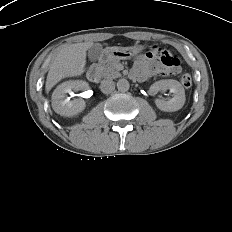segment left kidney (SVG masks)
Masks as SVG:
<instances>
[{
	"label": "left kidney",
	"instance_id": "1",
	"mask_svg": "<svg viewBox=\"0 0 232 232\" xmlns=\"http://www.w3.org/2000/svg\"><path fill=\"white\" fill-rule=\"evenodd\" d=\"M170 90L173 93L172 98L165 101L163 99L156 100V106L165 112H174L181 109L185 104V90L177 80L165 79L153 83L150 87L152 94H157L159 91Z\"/></svg>",
	"mask_w": 232,
	"mask_h": 232
}]
</instances>
